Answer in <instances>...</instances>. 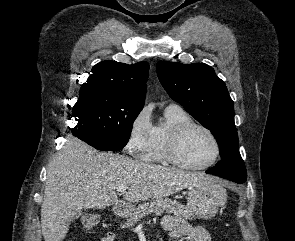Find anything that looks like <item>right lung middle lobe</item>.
<instances>
[{
    "mask_svg": "<svg viewBox=\"0 0 295 241\" xmlns=\"http://www.w3.org/2000/svg\"><path fill=\"white\" fill-rule=\"evenodd\" d=\"M143 106L102 91L79 98L73 107L71 133L98 150L117 151L129 141L133 122Z\"/></svg>",
    "mask_w": 295,
    "mask_h": 241,
    "instance_id": "1",
    "label": "right lung middle lobe"
}]
</instances>
